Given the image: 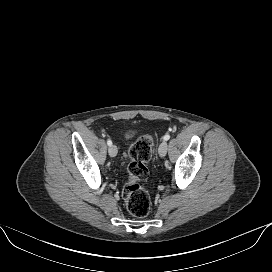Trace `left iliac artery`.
<instances>
[{
    "mask_svg": "<svg viewBox=\"0 0 272 272\" xmlns=\"http://www.w3.org/2000/svg\"><path fill=\"white\" fill-rule=\"evenodd\" d=\"M163 139H164L165 141L169 140V139H170V135L166 134V135L163 137Z\"/></svg>",
    "mask_w": 272,
    "mask_h": 272,
    "instance_id": "left-iliac-artery-1",
    "label": "left iliac artery"
}]
</instances>
